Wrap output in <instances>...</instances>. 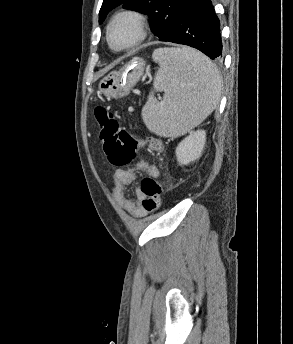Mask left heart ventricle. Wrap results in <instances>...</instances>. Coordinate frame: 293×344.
I'll return each mask as SVG.
<instances>
[{
    "mask_svg": "<svg viewBox=\"0 0 293 344\" xmlns=\"http://www.w3.org/2000/svg\"><path fill=\"white\" fill-rule=\"evenodd\" d=\"M137 32L132 21L123 19L117 22L111 30V39L115 46H124L136 38Z\"/></svg>",
    "mask_w": 293,
    "mask_h": 344,
    "instance_id": "b2bd125f",
    "label": "left heart ventricle"
}]
</instances>
